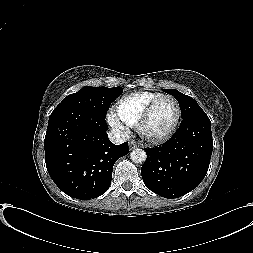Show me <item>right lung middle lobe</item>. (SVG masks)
<instances>
[{
	"mask_svg": "<svg viewBox=\"0 0 253 253\" xmlns=\"http://www.w3.org/2000/svg\"><path fill=\"white\" fill-rule=\"evenodd\" d=\"M123 92L122 87H84L70 94L54 109V111L77 108L86 110L100 118L106 117L110 104Z\"/></svg>",
	"mask_w": 253,
	"mask_h": 253,
	"instance_id": "1",
	"label": "right lung middle lobe"
}]
</instances>
